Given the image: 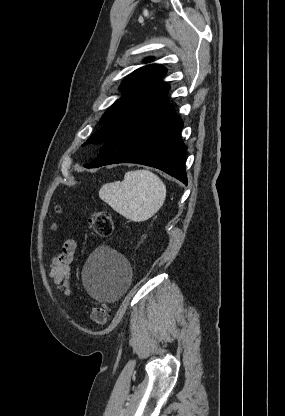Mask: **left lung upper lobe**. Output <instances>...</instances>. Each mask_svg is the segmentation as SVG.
<instances>
[{
  "mask_svg": "<svg viewBox=\"0 0 285 416\" xmlns=\"http://www.w3.org/2000/svg\"><path fill=\"white\" fill-rule=\"evenodd\" d=\"M151 58H146L150 61ZM166 70L161 65H148L131 73L122 82L125 93L102 118V128L97 130L82 145L104 144L112 135L128 123L152 113L167 104L169 85L161 81Z\"/></svg>",
  "mask_w": 285,
  "mask_h": 416,
  "instance_id": "5c2ea615",
  "label": "left lung upper lobe"
}]
</instances>
